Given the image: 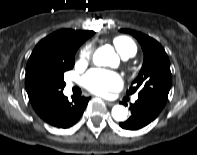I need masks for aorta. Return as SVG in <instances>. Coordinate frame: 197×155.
I'll return each instance as SVG.
<instances>
[{"mask_svg": "<svg viewBox=\"0 0 197 155\" xmlns=\"http://www.w3.org/2000/svg\"><path fill=\"white\" fill-rule=\"evenodd\" d=\"M117 58L111 46H102L98 48L93 55V62L97 66L109 65ZM128 110L122 105H115L112 108V117L116 121H125L127 119Z\"/></svg>", "mask_w": 197, "mask_h": 155, "instance_id": "762f6f07", "label": "aorta"}]
</instances>
